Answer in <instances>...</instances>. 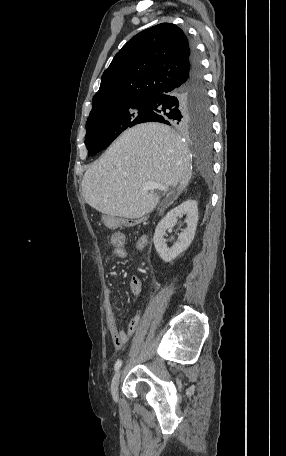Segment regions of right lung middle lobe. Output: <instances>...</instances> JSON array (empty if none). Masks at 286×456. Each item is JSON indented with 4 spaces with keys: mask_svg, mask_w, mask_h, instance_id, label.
<instances>
[{
    "mask_svg": "<svg viewBox=\"0 0 286 456\" xmlns=\"http://www.w3.org/2000/svg\"><path fill=\"white\" fill-rule=\"evenodd\" d=\"M148 99L132 98L107 105L90 115L86 123L85 144L88 155L93 156L107 148L125 129L146 122L152 113ZM209 136L211 119L203 125L187 128Z\"/></svg>",
    "mask_w": 286,
    "mask_h": 456,
    "instance_id": "dd1d6c3e",
    "label": "right lung middle lobe"
}]
</instances>
